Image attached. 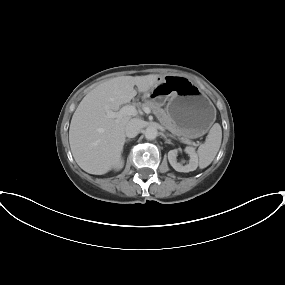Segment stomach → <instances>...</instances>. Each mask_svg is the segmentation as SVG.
Instances as JSON below:
<instances>
[{
	"instance_id": "stomach-1",
	"label": "stomach",
	"mask_w": 285,
	"mask_h": 285,
	"mask_svg": "<svg viewBox=\"0 0 285 285\" xmlns=\"http://www.w3.org/2000/svg\"><path fill=\"white\" fill-rule=\"evenodd\" d=\"M156 104L167 101L166 112L188 138L203 136L216 119V110L208 96L190 79L166 75L144 94Z\"/></svg>"
}]
</instances>
